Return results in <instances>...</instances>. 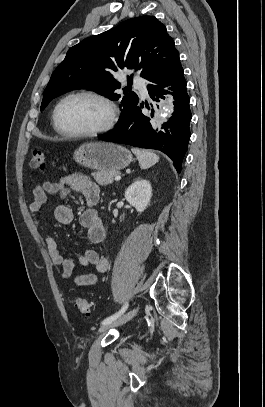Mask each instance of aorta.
Wrapping results in <instances>:
<instances>
[{"instance_id":"obj_1","label":"aorta","mask_w":265,"mask_h":407,"mask_svg":"<svg viewBox=\"0 0 265 407\" xmlns=\"http://www.w3.org/2000/svg\"><path fill=\"white\" fill-rule=\"evenodd\" d=\"M172 110V105L170 103H166L162 106L161 108V116L165 117L167 116Z\"/></svg>"}]
</instances>
